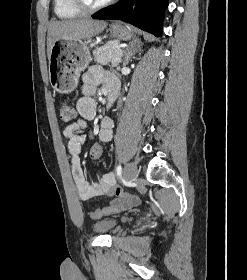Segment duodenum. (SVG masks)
<instances>
[{
	"instance_id": "410a0bca",
	"label": "duodenum",
	"mask_w": 247,
	"mask_h": 280,
	"mask_svg": "<svg viewBox=\"0 0 247 280\" xmlns=\"http://www.w3.org/2000/svg\"><path fill=\"white\" fill-rule=\"evenodd\" d=\"M116 96H117V90L112 89L109 91V104L110 105L115 101Z\"/></svg>"
}]
</instances>
